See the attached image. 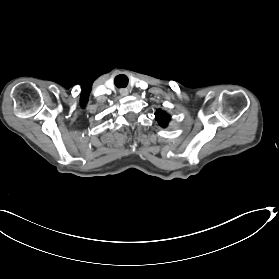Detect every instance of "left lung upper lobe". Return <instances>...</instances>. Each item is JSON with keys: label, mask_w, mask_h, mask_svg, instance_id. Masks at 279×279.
<instances>
[{"label": "left lung upper lobe", "mask_w": 279, "mask_h": 279, "mask_svg": "<svg viewBox=\"0 0 279 279\" xmlns=\"http://www.w3.org/2000/svg\"><path fill=\"white\" fill-rule=\"evenodd\" d=\"M156 120L158 121L159 125L162 127H166L170 118L169 116L166 114V112L162 111V110H157L156 111Z\"/></svg>", "instance_id": "5c2ea615"}]
</instances>
